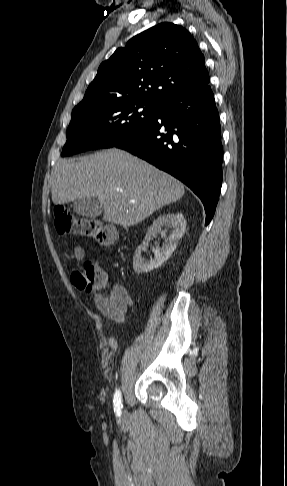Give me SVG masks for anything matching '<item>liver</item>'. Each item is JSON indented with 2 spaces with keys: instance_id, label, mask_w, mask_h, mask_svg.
Wrapping results in <instances>:
<instances>
[{
  "instance_id": "1",
  "label": "liver",
  "mask_w": 287,
  "mask_h": 486,
  "mask_svg": "<svg viewBox=\"0 0 287 486\" xmlns=\"http://www.w3.org/2000/svg\"><path fill=\"white\" fill-rule=\"evenodd\" d=\"M184 193L174 177L116 148L77 161L59 160L51 184L55 205L95 197L103 207V219L123 227L140 223Z\"/></svg>"
}]
</instances>
